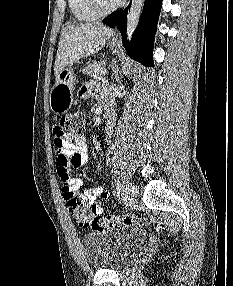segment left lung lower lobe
<instances>
[{"label": "left lung lower lobe", "mask_w": 233, "mask_h": 286, "mask_svg": "<svg viewBox=\"0 0 233 286\" xmlns=\"http://www.w3.org/2000/svg\"><path fill=\"white\" fill-rule=\"evenodd\" d=\"M162 0H145L143 13L138 27L133 34L131 43L126 37V18L128 7L125 10H117L107 16L103 23L114 27L117 26L122 35V41L129 56L145 66L153 67V38L156 24L161 9Z\"/></svg>", "instance_id": "obj_1"}]
</instances>
